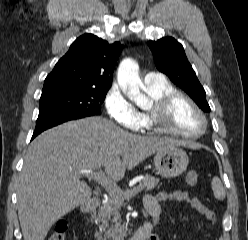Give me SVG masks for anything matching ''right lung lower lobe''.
<instances>
[{
  "mask_svg": "<svg viewBox=\"0 0 248 240\" xmlns=\"http://www.w3.org/2000/svg\"><path fill=\"white\" fill-rule=\"evenodd\" d=\"M79 119L78 117H40L37 119L35 131L33 133L32 139L35 138L38 134L47 130L51 127H54L63 122Z\"/></svg>",
  "mask_w": 248,
  "mask_h": 240,
  "instance_id": "right-lung-lower-lobe-1",
  "label": "right lung lower lobe"
}]
</instances>
